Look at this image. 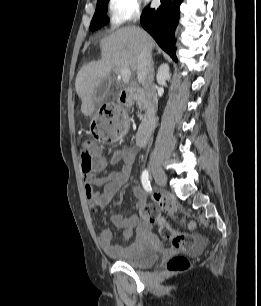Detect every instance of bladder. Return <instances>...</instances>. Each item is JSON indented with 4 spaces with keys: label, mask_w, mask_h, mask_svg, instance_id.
<instances>
[{
    "label": "bladder",
    "mask_w": 261,
    "mask_h": 306,
    "mask_svg": "<svg viewBox=\"0 0 261 306\" xmlns=\"http://www.w3.org/2000/svg\"><path fill=\"white\" fill-rule=\"evenodd\" d=\"M159 255V246L149 238H142L134 243L132 253L118 258V261L134 268H147L158 261Z\"/></svg>",
    "instance_id": "obj_1"
}]
</instances>
